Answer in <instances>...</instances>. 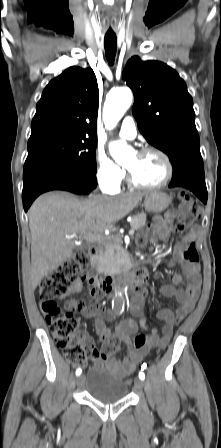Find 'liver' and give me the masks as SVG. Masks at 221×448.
Wrapping results in <instances>:
<instances>
[{"label":"liver","instance_id":"liver-1","mask_svg":"<svg viewBox=\"0 0 221 448\" xmlns=\"http://www.w3.org/2000/svg\"><path fill=\"white\" fill-rule=\"evenodd\" d=\"M146 194L79 199L70 193L55 191L39 196L28 212L32 288L72 256L74 238L92 232L100 235L114 228Z\"/></svg>","mask_w":221,"mask_h":448}]
</instances>
